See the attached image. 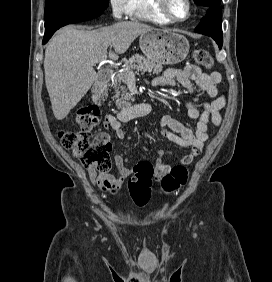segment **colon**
I'll use <instances>...</instances> for the list:
<instances>
[{
    "instance_id": "obj_1",
    "label": "colon",
    "mask_w": 272,
    "mask_h": 282,
    "mask_svg": "<svg viewBox=\"0 0 272 282\" xmlns=\"http://www.w3.org/2000/svg\"><path fill=\"white\" fill-rule=\"evenodd\" d=\"M195 62L202 66L212 67V57L201 48L194 51ZM99 111L96 105L86 104L79 107L75 114L78 129L62 131L59 139L62 146L78 158L81 165L87 169H95L101 173L110 170L111 143L106 133L93 134L92 129L98 124ZM150 165L140 162L133 168L128 180V188L134 203L145 206L151 198V184L149 180ZM188 178V171L184 166L173 167L162 176L160 189L162 193L171 195L183 187Z\"/></svg>"
}]
</instances>
